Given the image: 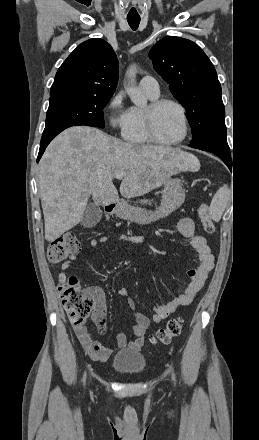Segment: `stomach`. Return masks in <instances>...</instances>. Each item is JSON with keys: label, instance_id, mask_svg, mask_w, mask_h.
I'll return each mask as SVG.
<instances>
[{"label": "stomach", "instance_id": "stomach-1", "mask_svg": "<svg viewBox=\"0 0 259 440\" xmlns=\"http://www.w3.org/2000/svg\"><path fill=\"white\" fill-rule=\"evenodd\" d=\"M184 200L185 191L182 181L178 178H169L164 184L160 206L155 211L132 207L126 202H121L113 213L124 220L138 224H149L169 216L183 204Z\"/></svg>", "mask_w": 259, "mask_h": 440}]
</instances>
